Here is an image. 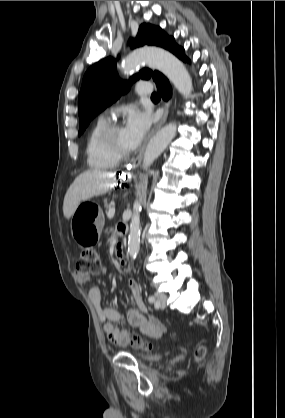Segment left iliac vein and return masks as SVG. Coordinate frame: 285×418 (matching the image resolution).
I'll return each instance as SVG.
<instances>
[{"instance_id":"1","label":"left iliac vein","mask_w":285,"mask_h":418,"mask_svg":"<svg viewBox=\"0 0 285 418\" xmlns=\"http://www.w3.org/2000/svg\"><path fill=\"white\" fill-rule=\"evenodd\" d=\"M154 297L156 298V306L158 308H165L167 297L165 294L157 292L155 293Z\"/></svg>"}]
</instances>
